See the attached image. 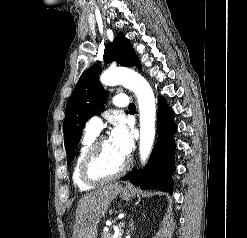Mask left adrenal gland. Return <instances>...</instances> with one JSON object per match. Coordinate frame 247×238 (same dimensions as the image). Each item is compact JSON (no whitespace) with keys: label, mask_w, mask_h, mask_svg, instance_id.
I'll use <instances>...</instances> for the list:
<instances>
[{"label":"left adrenal gland","mask_w":247,"mask_h":238,"mask_svg":"<svg viewBox=\"0 0 247 238\" xmlns=\"http://www.w3.org/2000/svg\"><path fill=\"white\" fill-rule=\"evenodd\" d=\"M134 225H133V221L130 222V231H134Z\"/></svg>","instance_id":"left-adrenal-gland-1"}]
</instances>
